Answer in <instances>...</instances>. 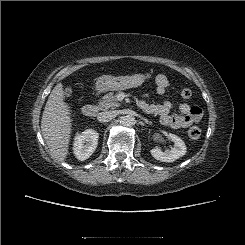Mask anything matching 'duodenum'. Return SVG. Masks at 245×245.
Masks as SVG:
<instances>
[{
  "mask_svg": "<svg viewBox=\"0 0 245 245\" xmlns=\"http://www.w3.org/2000/svg\"><path fill=\"white\" fill-rule=\"evenodd\" d=\"M81 112H82L83 116H85V117H92V116L96 115L97 107L95 105L88 104V105L83 106Z\"/></svg>",
  "mask_w": 245,
  "mask_h": 245,
  "instance_id": "duodenum-1",
  "label": "duodenum"
}]
</instances>
